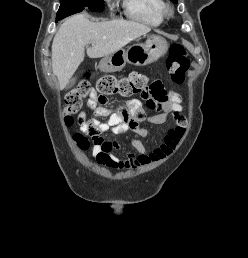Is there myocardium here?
Wrapping results in <instances>:
<instances>
[{"label": "myocardium", "instance_id": "obj_1", "mask_svg": "<svg viewBox=\"0 0 248 258\" xmlns=\"http://www.w3.org/2000/svg\"><path fill=\"white\" fill-rule=\"evenodd\" d=\"M163 11L165 14H171L172 8L169 5L164 4Z\"/></svg>", "mask_w": 248, "mask_h": 258}]
</instances>
